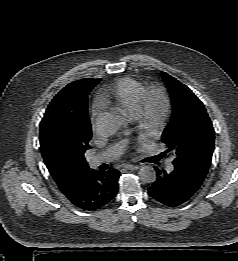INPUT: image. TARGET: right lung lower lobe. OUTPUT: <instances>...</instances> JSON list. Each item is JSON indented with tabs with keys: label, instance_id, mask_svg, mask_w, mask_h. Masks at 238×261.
Here are the masks:
<instances>
[{
	"label": "right lung lower lobe",
	"instance_id": "1",
	"mask_svg": "<svg viewBox=\"0 0 238 261\" xmlns=\"http://www.w3.org/2000/svg\"><path fill=\"white\" fill-rule=\"evenodd\" d=\"M119 177L116 169L104 172L93 170L82 186L67 198L83 210H98L116 196Z\"/></svg>",
	"mask_w": 238,
	"mask_h": 261
}]
</instances>
